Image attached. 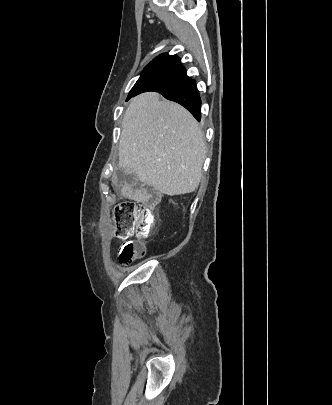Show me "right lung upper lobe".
<instances>
[{"mask_svg":"<svg viewBox=\"0 0 332 405\" xmlns=\"http://www.w3.org/2000/svg\"><path fill=\"white\" fill-rule=\"evenodd\" d=\"M143 72H158L183 77L185 80L190 79L181 65L179 57L176 55L161 54L157 56L144 68Z\"/></svg>","mask_w":332,"mask_h":405,"instance_id":"obj_1","label":"right lung upper lobe"}]
</instances>
